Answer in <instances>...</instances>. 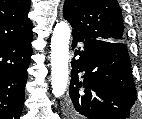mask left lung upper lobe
Masks as SVG:
<instances>
[{
  "label": "left lung upper lobe",
  "instance_id": "5c2ea615",
  "mask_svg": "<svg viewBox=\"0 0 142 119\" xmlns=\"http://www.w3.org/2000/svg\"><path fill=\"white\" fill-rule=\"evenodd\" d=\"M63 16L84 39L123 43V19L117 0H65Z\"/></svg>",
  "mask_w": 142,
  "mask_h": 119
}]
</instances>
